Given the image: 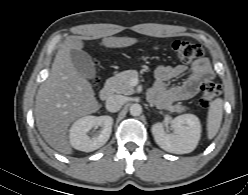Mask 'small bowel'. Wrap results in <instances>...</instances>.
<instances>
[{"mask_svg":"<svg viewBox=\"0 0 248 195\" xmlns=\"http://www.w3.org/2000/svg\"><path fill=\"white\" fill-rule=\"evenodd\" d=\"M184 65L160 66L155 71V83L149 91L152 102L161 108H167L175 102L192 98L200 86L213 78V70L207 59L196 61L191 67V74L180 84L168 86L171 79L184 75Z\"/></svg>","mask_w":248,"mask_h":195,"instance_id":"1","label":"small bowel"}]
</instances>
